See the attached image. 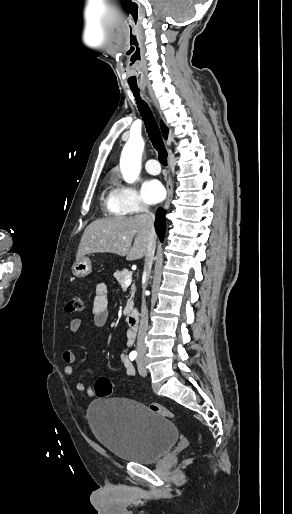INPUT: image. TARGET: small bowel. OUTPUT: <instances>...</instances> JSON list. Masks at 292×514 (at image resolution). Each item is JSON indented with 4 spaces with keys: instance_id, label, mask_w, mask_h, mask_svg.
Segmentation results:
<instances>
[{
    "instance_id": "1",
    "label": "small bowel",
    "mask_w": 292,
    "mask_h": 514,
    "mask_svg": "<svg viewBox=\"0 0 292 514\" xmlns=\"http://www.w3.org/2000/svg\"><path fill=\"white\" fill-rule=\"evenodd\" d=\"M91 313V322L95 327H103L110 316L109 304H108V287L105 283L100 282L95 287V295L92 301V305L90 308ZM83 324V320L81 318H73L70 321L69 327L71 332L78 333ZM63 361L66 364L64 368V372L68 376H72L75 373V368L73 364L76 362L75 353L66 349L63 352ZM121 363L125 369V373L128 377H133L135 375V369L128 359V357L123 354L121 356ZM75 389L78 392H86L89 396L94 395V389L92 387H87L83 381H76Z\"/></svg>"
}]
</instances>
